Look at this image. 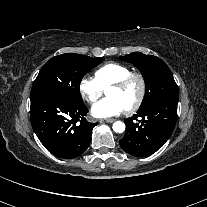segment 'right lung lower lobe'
<instances>
[{"mask_svg":"<svg viewBox=\"0 0 207 207\" xmlns=\"http://www.w3.org/2000/svg\"><path fill=\"white\" fill-rule=\"evenodd\" d=\"M85 104L56 94L31 97L30 117L33 130L43 146L63 159L80 156L89 146L96 124L86 120Z\"/></svg>","mask_w":207,"mask_h":207,"instance_id":"obj_1","label":"right lung lower lobe"}]
</instances>
